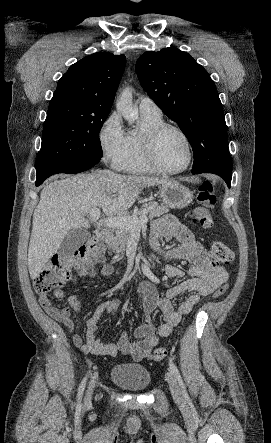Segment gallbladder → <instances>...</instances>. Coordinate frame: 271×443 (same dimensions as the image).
Masks as SVG:
<instances>
[{
  "label": "gallbladder",
  "instance_id": "gallbladder-1",
  "mask_svg": "<svg viewBox=\"0 0 271 443\" xmlns=\"http://www.w3.org/2000/svg\"><path fill=\"white\" fill-rule=\"evenodd\" d=\"M89 237V231H80V229H70L69 233L65 235L58 253H60L61 260H66L64 263L66 269L76 268L77 263L75 260L79 259V252L75 251V249H78Z\"/></svg>",
  "mask_w": 271,
  "mask_h": 443
}]
</instances>
